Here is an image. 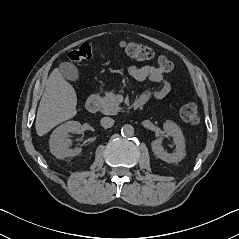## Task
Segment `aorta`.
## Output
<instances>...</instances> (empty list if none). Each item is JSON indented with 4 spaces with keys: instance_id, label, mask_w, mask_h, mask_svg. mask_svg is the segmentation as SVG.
<instances>
[{
    "instance_id": "1",
    "label": "aorta",
    "mask_w": 239,
    "mask_h": 239,
    "mask_svg": "<svg viewBox=\"0 0 239 239\" xmlns=\"http://www.w3.org/2000/svg\"><path fill=\"white\" fill-rule=\"evenodd\" d=\"M121 133L124 136L131 137L134 135V128L130 124H125V125H123V127L121 129Z\"/></svg>"
}]
</instances>
